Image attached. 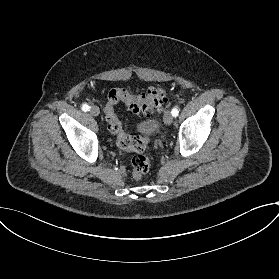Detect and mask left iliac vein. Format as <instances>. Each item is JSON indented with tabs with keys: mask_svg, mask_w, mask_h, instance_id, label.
<instances>
[{
	"mask_svg": "<svg viewBox=\"0 0 279 279\" xmlns=\"http://www.w3.org/2000/svg\"><path fill=\"white\" fill-rule=\"evenodd\" d=\"M173 122V117L171 115V113L168 111L166 114H165V123L167 125H171Z\"/></svg>",
	"mask_w": 279,
	"mask_h": 279,
	"instance_id": "4c4485c4",
	"label": "left iliac vein"
}]
</instances>
